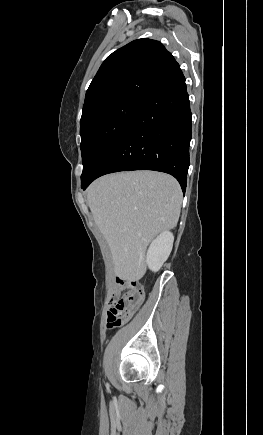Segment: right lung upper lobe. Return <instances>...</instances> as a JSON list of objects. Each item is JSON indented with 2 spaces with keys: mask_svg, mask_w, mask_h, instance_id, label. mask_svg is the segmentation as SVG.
I'll return each mask as SVG.
<instances>
[{
  "mask_svg": "<svg viewBox=\"0 0 263 435\" xmlns=\"http://www.w3.org/2000/svg\"><path fill=\"white\" fill-rule=\"evenodd\" d=\"M181 72L163 44L138 39L109 55L92 80L81 121L95 108L120 100L145 102Z\"/></svg>",
  "mask_w": 263,
  "mask_h": 435,
  "instance_id": "1",
  "label": "right lung upper lobe"
}]
</instances>
